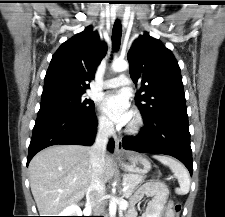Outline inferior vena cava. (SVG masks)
Returning a JSON list of instances; mask_svg holds the SVG:
<instances>
[{
  "label": "inferior vena cava",
  "mask_w": 225,
  "mask_h": 217,
  "mask_svg": "<svg viewBox=\"0 0 225 217\" xmlns=\"http://www.w3.org/2000/svg\"><path fill=\"white\" fill-rule=\"evenodd\" d=\"M114 132L113 123L108 120L103 121L99 126L95 142L90 149L91 181L86 191V196L87 200L92 204L96 216L103 212L105 183L101 180V176L104 171L108 138Z\"/></svg>",
  "instance_id": "1"
}]
</instances>
